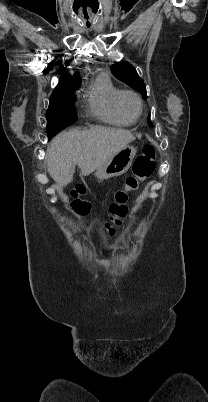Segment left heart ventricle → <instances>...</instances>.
I'll return each mask as SVG.
<instances>
[{"mask_svg":"<svg viewBox=\"0 0 208 402\" xmlns=\"http://www.w3.org/2000/svg\"><path fill=\"white\" fill-rule=\"evenodd\" d=\"M123 109L131 116H136L139 111V106L136 99L130 95H125L121 99Z\"/></svg>","mask_w":208,"mask_h":402,"instance_id":"b2bd125f","label":"left heart ventricle"}]
</instances>
